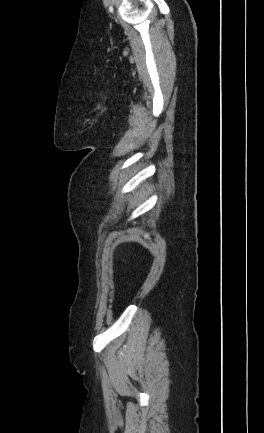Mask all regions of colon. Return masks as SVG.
I'll list each match as a JSON object with an SVG mask.
<instances>
[{
	"mask_svg": "<svg viewBox=\"0 0 264 433\" xmlns=\"http://www.w3.org/2000/svg\"><path fill=\"white\" fill-rule=\"evenodd\" d=\"M130 264V260H124V265L128 266Z\"/></svg>",
	"mask_w": 264,
	"mask_h": 433,
	"instance_id": "obj_1",
	"label": "colon"
}]
</instances>
